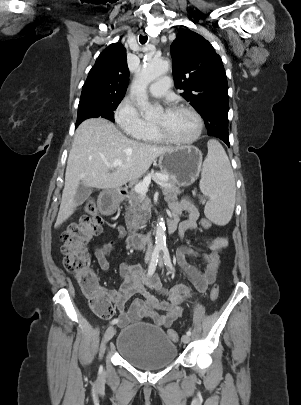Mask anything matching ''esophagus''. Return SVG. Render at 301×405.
<instances>
[{
	"label": "esophagus",
	"mask_w": 301,
	"mask_h": 405,
	"mask_svg": "<svg viewBox=\"0 0 301 405\" xmlns=\"http://www.w3.org/2000/svg\"><path fill=\"white\" fill-rule=\"evenodd\" d=\"M151 40H152L153 42H157V41H158L157 38H151Z\"/></svg>",
	"instance_id": "obj_1"
}]
</instances>
